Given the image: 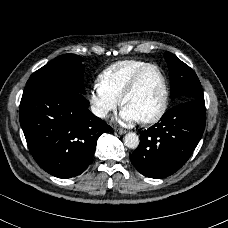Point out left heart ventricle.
Returning a JSON list of instances; mask_svg holds the SVG:
<instances>
[{
  "instance_id": "1",
  "label": "left heart ventricle",
  "mask_w": 228,
  "mask_h": 228,
  "mask_svg": "<svg viewBox=\"0 0 228 228\" xmlns=\"http://www.w3.org/2000/svg\"><path fill=\"white\" fill-rule=\"evenodd\" d=\"M164 84L156 69L147 71L136 91L125 101L124 107L130 108L140 120L155 115L163 105Z\"/></svg>"
}]
</instances>
